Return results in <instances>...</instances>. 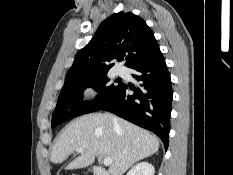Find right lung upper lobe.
I'll list each match as a JSON object with an SVG mask.
<instances>
[{
	"label": "right lung upper lobe",
	"mask_w": 233,
	"mask_h": 175,
	"mask_svg": "<svg viewBox=\"0 0 233 175\" xmlns=\"http://www.w3.org/2000/svg\"><path fill=\"white\" fill-rule=\"evenodd\" d=\"M160 52L157 40L146 22L131 12H119L101 23L90 42L79 51L65 81L107 73L126 53L125 65H134Z\"/></svg>",
	"instance_id": "1"
}]
</instances>
